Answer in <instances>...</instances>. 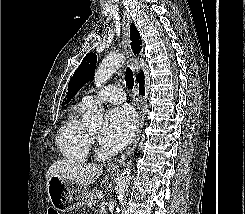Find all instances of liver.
<instances>
[{
    "instance_id": "liver-1",
    "label": "liver",
    "mask_w": 245,
    "mask_h": 214,
    "mask_svg": "<svg viewBox=\"0 0 245 214\" xmlns=\"http://www.w3.org/2000/svg\"><path fill=\"white\" fill-rule=\"evenodd\" d=\"M102 173V168L97 165H86L71 159L59 160L53 163L46 172V182L53 176L58 175L62 179L87 186L95 182Z\"/></svg>"
}]
</instances>
